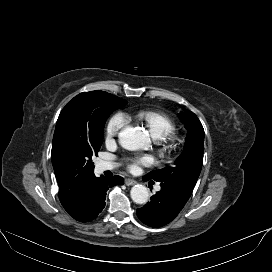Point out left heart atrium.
<instances>
[{
    "label": "left heart atrium",
    "mask_w": 272,
    "mask_h": 272,
    "mask_svg": "<svg viewBox=\"0 0 272 272\" xmlns=\"http://www.w3.org/2000/svg\"><path fill=\"white\" fill-rule=\"evenodd\" d=\"M153 163V158L150 155H142L133 158L129 161V168L136 172L139 171L142 166H149Z\"/></svg>",
    "instance_id": "obj_1"
}]
</instances>
